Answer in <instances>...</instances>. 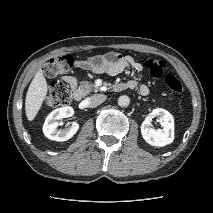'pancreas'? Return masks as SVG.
<instances>
[{
  "mask_svg": "<svg viewBox=\"0 0 213 213\" xmlns=\"http://www.w3.org/2000/svg\"><path fill=\"white\" fill-rule=\"evenodd\" d=\"M81 88L85 91V93H89L91 91H98V88L95 87L92 83H89L88 81H83L81 84Z\"/></svg>",
  "mask_w": 213,
  "mask_h": 213,
  "instance_id": "pancreas-1",
  "label": "pancreas"
}]
</instances>
